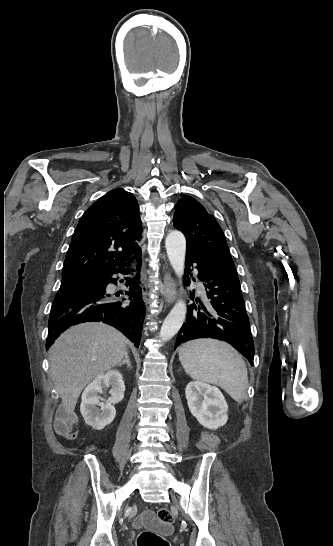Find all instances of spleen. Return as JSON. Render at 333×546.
<instances>
[{
  "mask_svg": "<svg viewBox=\"0 0 333 546\" xmlns=\"http://www.w3.org/2000/svg\"><path fill=\"white\" fill-rule=\"evenodd\" d=\"M179 360L194 380L220 386L242 403L248 388L247 367L229 344L216 339H195L179 349Z\"/></svg>",
  "mask_w": 333,
  "mask_h": 546,
  "instance_id": "spleen-1",
  "label": "spleen"
}]
</instances>
